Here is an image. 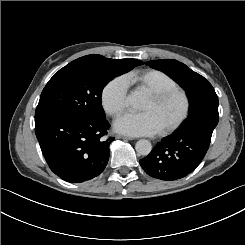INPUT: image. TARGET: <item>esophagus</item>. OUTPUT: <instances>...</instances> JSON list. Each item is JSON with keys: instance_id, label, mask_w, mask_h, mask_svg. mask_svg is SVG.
I'll return each mask as SVG.
<instances>
[{"instance_id": "1", "label": "esophagus", "mask_w": 245, "mask_h": 245, "mask_svg": "<svg viewBox=\"0 0 245 245\" xmlns=\"http://www.w3.org/2000/svg\"><path fill=\"white\" fill-rule=\"evenodd\" d=\"M116 139H126V140H134V137L131 136H126V135H122V134H118L116 135Z\"/></svg>"}]
</instances>
